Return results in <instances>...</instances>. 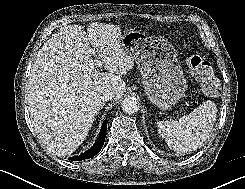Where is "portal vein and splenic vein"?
<instances>
[{
	"label": "portal vein and splenic vein",
	"mask_w": 245,
	"mask_h": 189,
	"mask_svg": "<svg viewBox=\"0 0 245 189\" xmlns=\"http://www.w3.org/2000/svg\"><path fill=\"white\" fill-rule=\"evenodd\" d=\"M89 52H90L91 54H93V55H96V52H95L94 49H90ZM102 63H103L102 60L98 57V58L96 59L95 67H96V68L100 67V66L102 65Z\"/></svg>",
	"instance_id": "18ae733b"
}]
</instances>
